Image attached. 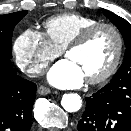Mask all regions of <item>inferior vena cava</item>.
I'll return each instance as SVG.
<instances>
[{
  "label": "inferior vena cava",
  "mask_w": 131,
  "mask_h": 131,
  "mask_svg": "<svg viewBox=\"0 0 131 131\" xmlns=\"http://www.w3.org/2000/svg\"><path fill=\"white\" fill-rule=\"evenodd\" d=\"M40 72H41V68H39L37 66L26 70V73L29 77H34L36 73H40Z\"/></svg>",
  "instance_id": "obj_1"
}]
</instances>
